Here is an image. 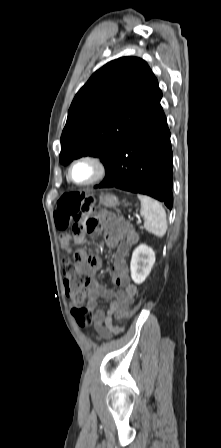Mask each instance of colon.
<instances>
[{"instance_id":"obj_1","label":"colon","mask_w":221,"mask_h":448,"mask_svg":"<svg viewBox=\"0 0 221 448\" xmlns=\"http://www.w3.org/2000/svg\"><path fill=\"white\" fill-rule=\"evenodd\" d=\"M94 200L81 192H72L59 198L56 204L55 221L59 229L71 225L74 236L83 237L91 233L97 225L92 216ZM63 275L66 294L73 303L72 313L80 326L92 323L93 317L85 306V290L90 277L73 261L63 262ZM136 305L128 313L134 312Z\"/></svg>"}]
</instances>
